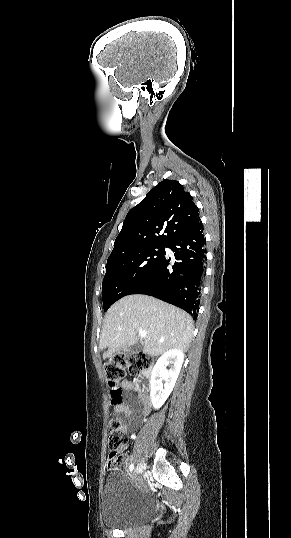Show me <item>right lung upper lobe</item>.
<instances>
[{
	"label": "right lung upper lobe",
	"instance_id": "obj_1",
	"mask_svg": "<svg viewBox=\"0 0 291 538\" xmlns=\"http://www.w3.org/2000/svg\"><path fill=\"white\" fill-rule=\"evenodd\" d=\"M199 223L192 196L178 181L165 179L128 212L109 258L147 246L168 245ZM162 230L164 234L159 235Z\"/></svg>",
	"mask_w": 291,
	"mask_h": 538
}]
</instances>
